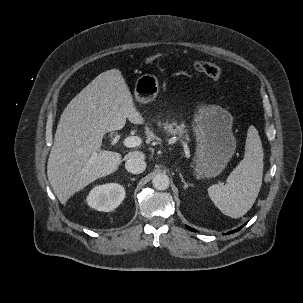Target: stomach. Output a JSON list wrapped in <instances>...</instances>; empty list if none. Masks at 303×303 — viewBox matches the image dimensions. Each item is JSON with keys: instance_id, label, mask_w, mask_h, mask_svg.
<instances>
[{"instance_id": "0dacf381", "label": "stomach", "mask_w": 303, "mask_h": 303, "mask_svg": "<svg viewBox=\"0 0 303 303\" xmlns=\"http://www.w3.org/2000/svg\"><path fill=\"white\" fill-rule=\"evenodd\" d=\"M159 92L155 75L144 74L135 83V99L146 104ZM233 117L216 105H200L194 116L193 130L196 137L194 169L198 177L218 176L236 151V139L232 133Z\"/></svg>"}]
</instances>
